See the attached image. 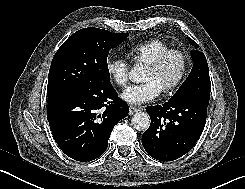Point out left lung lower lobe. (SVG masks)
I'll return each mask as SVG.
<instances>
[{
  "label": "left lung lower lobe",
  "instance_id": "1",
  "mask_svg": "<svg viewBox=\"0 0 245 189\" xmlns=\"http://www.w3.org/2000/svg\"><path fill=\"white\" fill-rule=\"evenodd\" d=\"M208 104L201 98L185 97L147 107L151 124L142 135L146 152L160 161L185 155L203 132Z\"/></svg>",
  "mask_w": 245,
  "mask_h": 189
}]
</instances>
